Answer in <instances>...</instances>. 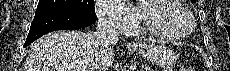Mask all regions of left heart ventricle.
<instances>
[{
	"label": "left heart ventricle",
	"mask_w": 230,
	"mask_h": 71,
	"mask_svg": "<svg viewBox=\"0 0 230 71\" xmlns=\"http://www.w3.org/2000/svg\"><path fill=\"white\" fill-rule=\"evenodd\" d=\"M169 3L171 0L153 2L149 10L151 19L165 30L176 33L185 32L189 28L187 17L181 11L169 8Z\"/></svg>",
	"instance_id": "obj_1"
}]
</instances>
